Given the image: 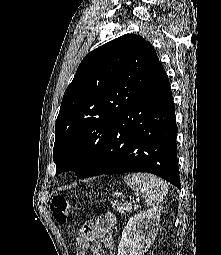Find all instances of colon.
<instances>
[{"label":"colon","mask_w":221,"mask_h":255,"mask_svg":"<svg viewBox=\"0 0 221 255\" xmlns=\"http://www.w3.org/2000/svg\"><path fill=\"white\" fill-rule=\"evenodd\" d=\"M53 217L59 224H65L70 212L74 209L63 197H54L50 203Z\"/></svg>","instance_id":"obj_1"}]
</instances>
